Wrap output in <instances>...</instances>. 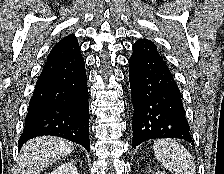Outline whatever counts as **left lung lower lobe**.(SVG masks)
Returning a JSON list of instances; mask_svg holds the SVG:
<instances>
[{"instance_id": "obj_1", "label": "left lung lower lobe", "mask_w": 224, "mask_h": 174, "mask_svg": "<svg viewBox=\"0 0 224 174\" xmlns=\"http://www.w3.org/2000/svg\"><path fill=\"white\" fill-rule=\"evenodd\" d=\"M134 106L132 148L157 138L193 144L180 90L154 44H134L129 59Z\"/></svg>"}]
</instances>
